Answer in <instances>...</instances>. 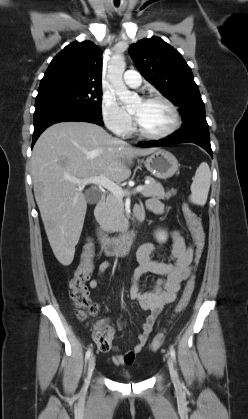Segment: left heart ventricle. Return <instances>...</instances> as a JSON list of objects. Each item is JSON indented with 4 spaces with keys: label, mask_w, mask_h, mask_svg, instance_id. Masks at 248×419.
Returning a JSON list of instances; mask_svg holds the SVG:
<instances>
[{
    "label": "left heart ventricle",
    "mask_w": 248,
    "mask_h": 419,
    "mask_svg": "<svg viewBox=\"0 0 248 419\" xmlns=\"http://www.w3.org/2000/svg\"><path fill=\"white\" fill-rule=\"evenodd\" d=\"M131 113L136 117L142 129L148 133H161L168 129L173 116L169 108L162 102H146L140 100Z\"/></svg>",
    "instance_id": "1"
}]
</instances>
